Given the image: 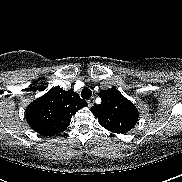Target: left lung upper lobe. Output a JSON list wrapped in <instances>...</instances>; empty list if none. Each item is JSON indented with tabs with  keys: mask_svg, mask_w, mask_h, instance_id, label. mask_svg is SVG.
I'll use <instances>...</instances> for the list:
<instances>
[{
	"mask_svg": "<svg viewBox=\"0 0 182 182\" xmlns=\"http://www.w3.org/2000/svg\"><path fill=\"white\" fill-rule=\"evenodd\" d=\"M101 103L94 105L91 112L102 127L114 133L130 131L138 121L139 112L135 105L115 87L99 92Z\"/></svg>",
	"mask_w": 182,
	"mask_h": 182,
	"instance_id": "obj_1",
	"label": "left lung upper lobe"
}]
</instances>
